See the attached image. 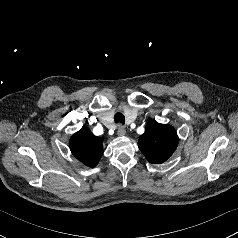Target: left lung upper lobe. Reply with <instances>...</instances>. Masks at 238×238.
Returning <instances> with one entry per match:
<instances>
[{"label":"left lung upper lobe","mask_w":238,"mask_h":238,"mask_svg":"<svg viewBox=\"0 0 238 238\" xmlns=\"http://www.w3.org/2000/svg\"><path fill=\"white\" fill-rule=\"evenodd\" d=\"M178 142L177 133L171 125L151 120L139 137L138 146L150 163L160 164L173 154Z\"/></svg>","instance_id":"left-lung-upper-lobe-1"}]
</instances>
